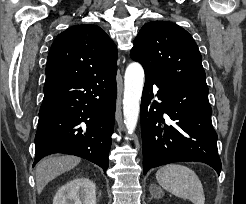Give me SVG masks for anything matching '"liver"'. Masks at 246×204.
I'll list each match as a JSON object with an SVG mask.
<instances>
[{
	"mask_svg": "<svg viewBox=\"0 0 246 204\" xmlns=\"http://www.w3.org/2000/svg\"><path fill=\"white\" fill-rule=\"evenodd\" d=\"M81 159L73 155L48 157L36 166V186L40 194L44 187L58 175L74 168Z\"/></svg>",
	"mask_w": 246,
	"mask_h": 204,
	"instance_id": "liver-1",
	"label": "liver"
}]
</instances>
